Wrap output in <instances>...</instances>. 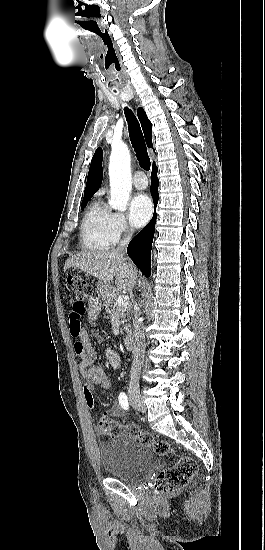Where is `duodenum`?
<instances>
[{
  "label": "duodenum",
  "instance_id": "obj_1",
  "mask_svg": "<svg viewBox=\"0 0 265 550\" xmlns=\"http://www.w3.org/2000/svg\"><path fill=\"white\" fill-rule=\"evenodd\" d=\"M124 345L125 348L129 351H132L135 349V340L133 336H127L124 339Z\"/></svg>",
  "mask_w": 265,
  "mask_h": 550
}]
</instances>
